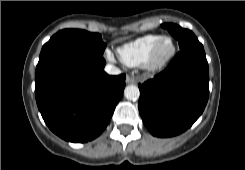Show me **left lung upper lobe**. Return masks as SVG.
I'll use <instances>...</instances> for the list:
<instances>
[{"instance_id":"5c2ea615","label":"left lung upper lobe","mask_w":245,"mask_h":170,"mask_svg":"<svg viewBox=\"0 0 245 170\" xmlns=\"http://www.w3.org/2000/svg\"><path fill=\"white\" fill-rule=\"evenodd\" d=\"M161 26L167 29L170 34L178 40L181 50H192L205 53L202 44L198 41L192 31L183 29L173 23H164Z\"/></svg>"}]
</instances>
